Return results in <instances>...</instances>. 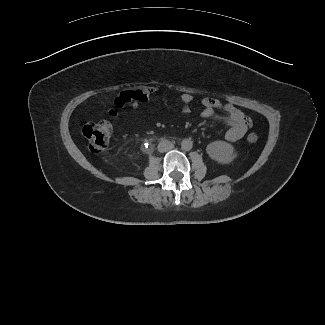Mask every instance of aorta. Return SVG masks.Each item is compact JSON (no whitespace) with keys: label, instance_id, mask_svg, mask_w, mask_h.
Segmentation results:
<instances>
[{"label":"aorta","instance_id":"obj_1","mask_svg":"<svg viewBox=\"0 0 325 325\" xmlns=\"http://www.w3.org/2000/svg\"><path fill=\"white\" fill-rule=\"evenodd\" d=\"M193 143L190 139H184L181 143V147L182 149L188 151L190 149H192Z\"/></svg>","mask_w":325,"mask_h":325}]
</instances>
